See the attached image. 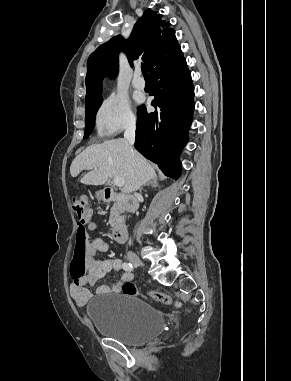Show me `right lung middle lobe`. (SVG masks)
Here are the masks:
<instances>
[{
  "instance_id": "right-lung-middle-lobe-1",
  "label": "right lung middle lobe",
  "mask_w": 291,
  "mask_h": 381,
  "mask_svg": "<svg viewBox=\"0 0 291 381\" xmlns=\"http://www.w3.org/2000/svg\"><path fill=\"white\" fill-rule=\"evenodd\" d=\"M102 97H99L98 99L88 103L85 105V134L84 138L89 137L91 134L93 128H94V120L95 115L102 103Z\"/></svg>"
}]
</instances>
